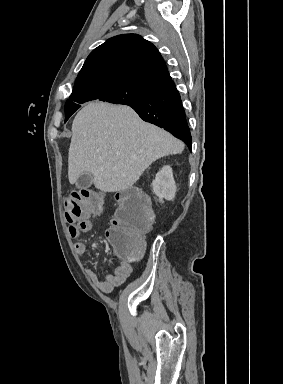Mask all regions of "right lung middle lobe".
<instances>
[{"instance_id": "1", "label": "right lung middle lobe", "mask_w": 283, "mask_h": 384, "mask_svg": "<svg viewBox=\"0 0 283 384\" xmlns=\"http://www.w3.org/2000/svg\"><path fill=\"white\" fill-rule=\"evenodd\" d=\"M152 91L124 83H103L73 89L65 104V122L81 105L91 100L107 101L115 104L140 103L151 96Z\"/></svg>"}]
</instances>
